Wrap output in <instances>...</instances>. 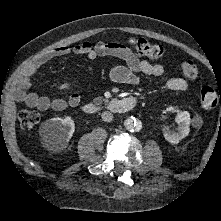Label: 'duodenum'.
Listing matches in <instances>:
<instances>
[{
  "mask_svg": "<svg viewBox=\"0 0 221 221\" xmlns=\"http://www.w3.org/2000/svg\"><path fill=\"white\" fill-rule=\"evenodd\" d=\"M138 100L134 97H127L123 99H111L102 103H87L83 106V111L87 114H96L103 110H108L113 113H123L134 108Z\"/></svg>",
  "mask_w": 221,
  "mask_h": 221,
  "instance_id": "1",
  "label": "duodenum"
}]
</instances>
